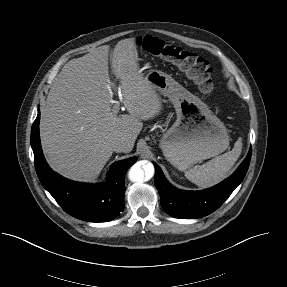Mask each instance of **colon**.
<instances>
[{"label": "colon", "instance_id": "colon-1", "mask_svg": "<svg viewBox=\"0 0 287 287\" xmlns=\"http://www.w3.org/2000/svg\"><path fill=\"white\" fill-rule=\"evenodd\" d=\"M138 45L149 54L176 65L202 93L213 92L212 69L205 58L151 35L139 38Z\"/></svg>", "mask_w": 287, "mask_h": 287}]
</instances>
